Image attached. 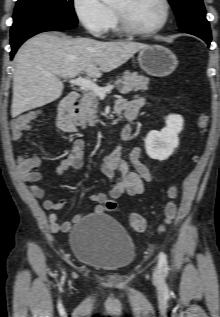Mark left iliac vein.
Listing matches in <instances>:
<instances>
[{"label": "left iliac vein", "instance_id": "1", "mask_svg": "<svg viewBox=\"0 0 220 317\" xmlns=\"http://www.w3.org/2000/svg\"><path fill=\"white\" fill-rule=\"evenodd\" d=\"M153 278L156 282H160L161 281V271L159 269L158 266H156L154 268V271H153Z\"/></svg>", "mask_w": 220, "mask_h": 317}]
</instances>
